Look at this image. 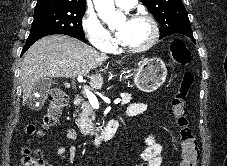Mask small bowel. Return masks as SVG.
Returning a JSON list of instances; mask_svg holds the SVG:
<instances>
[{
  "instance_id": "c3829d8e",
  "label": "small bowel",
  "mask_w": 227,
  "mask_h": 166,
  "mask_svg": "<svg viewBox=\"0 0 227 166\" xmlns=\"http://www.w3.org/2000/svg\"><path fill=\"white\" fill-rule=\"evenodd\" d=\"M147 110V105L143 103H134L127 108L128 116H136L145 113ZM66 138L68 140H73L75 138V131L69 129L66 132ZM147 148L143 152L141 159L147 166H161L162 157L161 150L162 147L159 143L154 141L153 136H149L146 140ZM78 152V148L75 145L67 148L66 146H60L57 150L58 156L67 162H72ZM53 166V165H52Z\"/></svg>"
}]
</instances>
